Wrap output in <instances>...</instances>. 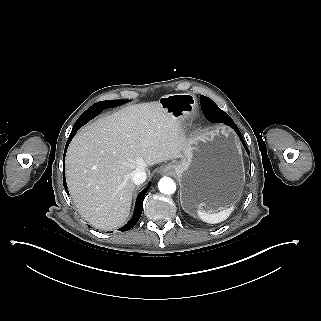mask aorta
Segmentation results:
<instances>
[{
  "label": "aorta",
  "mask_w": 321,
  "mask_h": 321,
  "mask_svg": "<svg viewBox=\"0 0 321 321\" xmlns=\"http://www.w3.org/2000/svg\"><path fill=\"white\" fill-rule=\"evenodd\" d=\"M160 192L164 194H173L176 191V184L169 177H163L158 183Z\"/></svg>",
  "instance_id": "aorta-1"
}]
</instances>
